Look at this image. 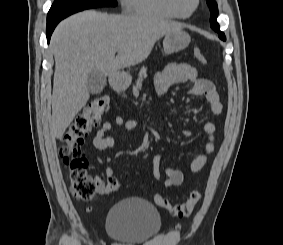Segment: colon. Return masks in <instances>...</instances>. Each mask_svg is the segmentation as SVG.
Returning <instances> with one entry per match:
<instances>
[{
  "instance_id": "1",
  "label": "colon",
  "mask_w": 283,
  "mask_h": 245,
  "mask_svg": "<svg viewBox=\"0 0 283 245\" xmlns=\"http://www.w3.org/2000/svg\"><path fill=\"white\" fill-rule=\"evenodd\" d=\"M194 57L202 64L207 63L206 57L199 49H194ZM110 107V100L106 96L91 100L74 118L63 135V145L59 149L60 156L69 173L70 190L75 199L90 202L95 198L96 181L88 173V160L81 150L85 137L100 123L104 113ZM120 186L116 177L108 179L104 195L115 193ZM198 190L191 191L188 199L179 204H171L166 198L155 194L153 200L159 207L169 210L175 217H188L200 201Z\"/></svg>"
}]
</instances>
